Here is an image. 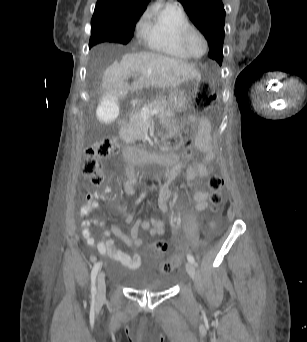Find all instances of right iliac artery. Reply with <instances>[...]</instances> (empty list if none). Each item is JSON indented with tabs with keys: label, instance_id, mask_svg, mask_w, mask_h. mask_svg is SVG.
<instances>
[{
	"label": "right iliac artery",
	"instance_id": "82829eb1",
	"mask_svg": "<svg viewBox=\"0 0 307 342\" xmlns=\"http://www.w3.org/2000/svg\"><path fill=\"white\" fill-rule=\"evenodd\" d=\"M144 197V194H142V196L139 198V200L137 201V203H139L141 201V198ZM101 262H97L93 269H92V272H91V294H92V297L94 298L95 295H96V276L98 274V271L101 267Z\"/></svg>",
	"mask_w": 307,
	"mask_h": 342
}]
</instances>
